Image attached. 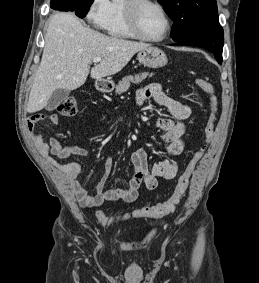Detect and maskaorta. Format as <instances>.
<instances>
[{"instance_id":"aorta-1","label":"aorta","mask_w":259,"mask_h":283,"mask_svg":"<svg viewBox=\"0 0 259 283\" xmlns=\"http://www.w3.org/2000/svg\"><path fill=\"white\" fill-rule=\"evenodd\" d=\"M114 2L119 1V0H113Z\"/></svg>"}]
</instances>
